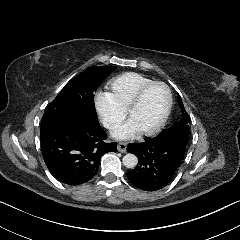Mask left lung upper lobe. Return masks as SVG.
<instances>
[{
    "label": "left lung upper lobe",
    "instance_id": "1",
    "mask_svg": "<svg viewBox=\"0 0 240 240\" xmlns=\"http://www.w3.org/2000/svg\"><path fill=\"white\" fill-rule=\"evenodd\" d=\"M178 104L182 112L180 120L174 123L170 128L164 129L158 136L177 135V136L189 139V125H188L189 116H188V113L185 112L182 100L179 95H178Z\"/></svg>",
    "mask_w": 240,
    "mask_h": 240
}]
</instances>
